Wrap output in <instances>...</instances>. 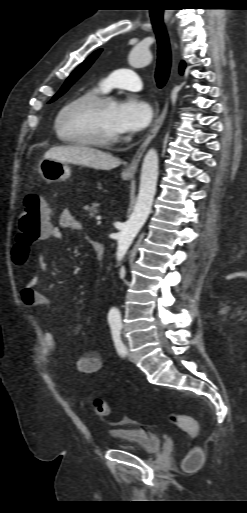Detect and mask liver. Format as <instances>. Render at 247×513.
<instances>
[{
	"instance_id": "liver-1",
	"label": "liver",
	"mask_w": 247,
	"mask_h": 513,
	"mask_svg": "<svg viewBox=\"0 0 247 513\" xmlns=\"http://www.w3.org/2000/svg\"><path fill=\"white\" fill-rule=\"evenodd\" d=\"M44 158L84 165L97 170H110L121 164V161L111 154L83 145L52 147L46 151Z\"/></svg>"
}]
</instances>
